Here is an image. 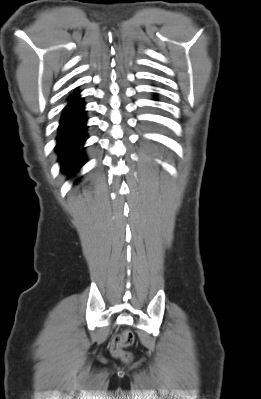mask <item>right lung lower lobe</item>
<instances>
[{"mask_svg": "<svg viewBox=\"0 0 261 399\" xmlns=\"http://www.w3.org/2000/svg\"><path fill=\"white\" fill-rule=\"evenodd\" d=\"M79 91L70 96L60 120L56 150L59 153L61 169L74 175L82 166V146L87 139L84 102Z\"/></svg>", "mask_w": 261, "mask_h": 399, "instance_id": "right-lung-lower-lobe-1", "label": "right lung lower lobe"}]
</instances>
